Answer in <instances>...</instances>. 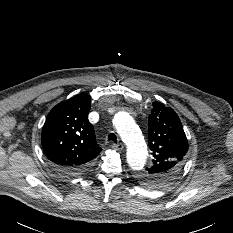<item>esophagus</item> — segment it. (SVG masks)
Instances as JSON below:
<instances>
[{
  "label": "esophagus",
  "instance_id": "esophagus-1",
  "mask_svg": "<svg viewBox=\"0 0 233 233\" xmlns=\"http://www.w3.org/2000/svg\"><path fill=\"white\" fill-rule=\"evenodd\" d=\"M112 148L116 149V150H122L124 148L123 144L122 143H113L112 145Z\"/></svg>",
  "mask_w": 233,
  "mask_h": 233
}]
</instances>
